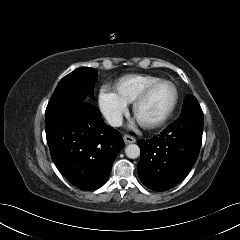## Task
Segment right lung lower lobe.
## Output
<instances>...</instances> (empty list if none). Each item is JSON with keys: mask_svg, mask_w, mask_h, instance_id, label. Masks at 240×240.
I'll list each match as a JSON object with an SVG mask.
<instances>
[{"mask_svg": "<svg viewBox=\"0 0 240 240\" xmlns=\"http://www.w3.org/2000/svg\"><path fill=\"white\" fill-rule=\"evenodd\" d=\"M46 138L57 168L75 187L103 186L124 141L88 102L46 109Z\"/></svg>", "mask_w": 240, "mask_h": 240, "instance_id": "obj_1", "label": "right lung lower lobe"}]
</instances>
